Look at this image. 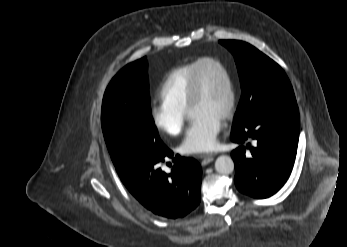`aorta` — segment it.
<instances>
[{"mask_svg": "<svg viewBox=\"0 0 347 247\" xmlns=\"http://www.w3.org/2000/svg\"><path fill=\"white\" fill-rule=\"evenodd\" d=\"M215 169L221 174H231L234 170V162L230 156H219L215 161Z\"/></svg>", "mask_w": 347, "mask_h": 247, "instance_id": "aorta-1", "label": "aorta"}]
</instances>
